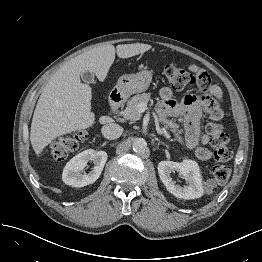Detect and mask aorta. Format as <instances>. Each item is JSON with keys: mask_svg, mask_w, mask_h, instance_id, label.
Wrapping results in <instances>:
<instances>
[{"mask_svg": "<svg viewBox=\"0 0 262 262\" xmlns=\"http://www.w3.org/2000/svg\"><path fill=\"white\" fill-rule=\"evenodd\" d=\"M132 148L137 153H144L148 149L147 142L143 138H135L132 144Z\"/></svg>", "mask_w": 262, "mask_h": 262, "instance_id": "1", "label": "aorta"}]
</instances>
